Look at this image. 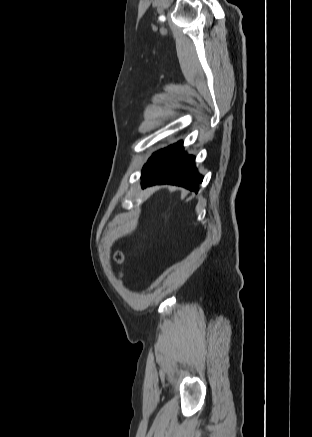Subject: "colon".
<instances>
[{"label":"colon","instance_id":"obj_1","mask_svg":"<svg viewBox=\"0 0 312 437\" xmlns=\"http://www.w3.org/2000/svg\"><path fill=\"white\" fill-rule=\"evenodd\" d=\"M114 259L117 263H122L123 261V255L120 252H116L114 255Z\"/></svg>","mask_w":312,"mask_h":437}]
</instances>
